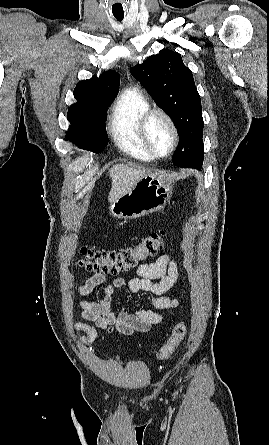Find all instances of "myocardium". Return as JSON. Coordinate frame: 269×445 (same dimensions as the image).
Here are the masks:
<instances>
[{
  "instance_id": "f54148a6",
  "label": "myocardium",
  "mask_w": 269,
  "mask_h": 445,
  "mask_svg": "<svg viewBox=\"0 0 269 445\" xmlns=\"http://www.w3.org/2000/svg\"><path fill=\"white\" fill-rule=\"evenodd\" d=\"M156 115L163 117L169 124L172 131V136H173L172 145L169 151L164 155H160L155 151V149L153 148V146L149 141L147 134L149 122ZM139 135L145 148L156 159H165L169 157L176 150L179 143V131L175 120L167 111L161 108H150L142 115L139 122Z\"/></svg>"
}]
</instances>
